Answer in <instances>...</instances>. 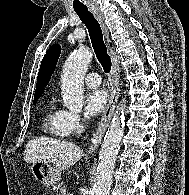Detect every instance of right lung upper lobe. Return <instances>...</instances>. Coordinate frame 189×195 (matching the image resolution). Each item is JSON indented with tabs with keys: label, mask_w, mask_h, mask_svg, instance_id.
Wrapping results in <instances>:
<instances>
[{
	"label": "right lung upper lobe",
	"mask_w": 189,
	"mask_h": 195,
	"mask_svg": "<svg viewBox=\"0 0 189 195\" xmlns=\"http://www.w3.org/2000/svg\"><path fill=\"white\" fill-rule=\"evenodd\" d=\"M60 52L61 46L58 44L52 45L46 52L39 69L34 99H38L41 96L44 91V87L48 84L56 67Z\"/></svg>",
	"instance_id": "cb5924a9"
}]
</instances>
